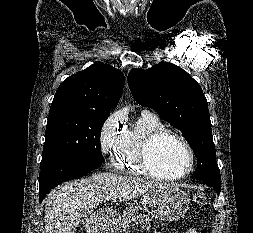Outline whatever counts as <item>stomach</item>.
I'll return each mask as SVG.
<instances>
[{"mask_svg": "<svg viewBox=\"0 0 253 233\" xmlns=\"http://www.w3.org/2000/svg\"><path fill=\"white\" fill-rule=\"evenodd\" d=\"M141 203L149 215L161 221L171 222L185 215L189 208L190 196L176 186L166 185L146 193ZM116 230L109 229L104 233H116Z\"/></svg>", "mask_w": 253, "mask_h": 233, "instance_id": "0dacf381", "label": "stomach"}]
</instances>
